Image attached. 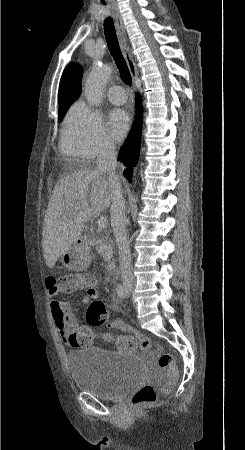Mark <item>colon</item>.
Segmentation results:
<instances>
[{"label": "colon", "mask_w": 245, "mask_h": 450, "mask_svg": "<svg viewBox=\"0 0 245 450\" xmlns=\"http://www.w3.org/2000/svg\"><path fill=\"white\" fill-rule=\"evenodd\" d=\"M88 280L89 278L80 272H70L56 277L51 281V284H54L59 291H68L84 284ZM87 322L93 327L110 323L109 313L104 302L95 300L89 304L87 310ZM118 324L122 329H130L120 322H118ZM72 337L79 346H84L92 343L95 335L89 328L84 327L79 328ZM104 340L107 342H114L120 350H129L135 346L142 350H147L152 346L151 340L140 334H136L135 336L122 335L117 337L111 334H105ZM158 365L166 372V381L163 385V390L169 392L174 387L177 377L173 355L171 353L160 354ZM156 400L157 395L153 386L142 385L134 393L131 403L135 409H138L141 406L153 404Z\"/></svg>", "instance_id": "obj_1"}]
</instances>
